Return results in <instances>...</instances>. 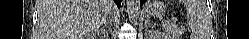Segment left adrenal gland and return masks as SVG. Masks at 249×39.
<instances>
[{
    "label": "left adrenal gland",
    "mask_w": 249,
    "mask_h": 39,
    "mask_svg": "<svg viewBox=\"0 0 249 39\" xmlns=\"http://www.w3.org/2000/svg\"><path fill=\"white\" fill-rule=\"evenodd\" d=\"M147 23H148V25L150 26V21H149V20L147 21Z\"/></svg>",
    "instance_id": "a2214340"
}]
</instances>
